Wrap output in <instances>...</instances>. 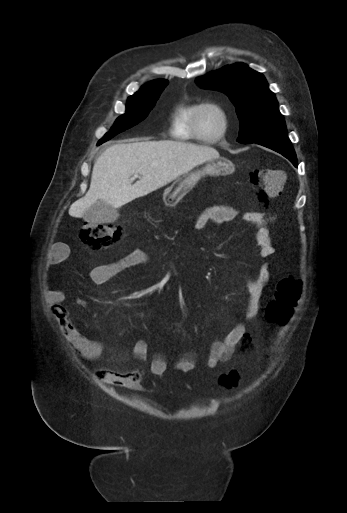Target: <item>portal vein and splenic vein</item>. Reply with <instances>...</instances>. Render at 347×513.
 Segmentation results:
<instances>
[{
  "instance_id": "obj_1",
  "label": "portal vein and splenic vein",
  "mask_w": 347,
  "mask_h": 513,
  "mask_svg": "<svg viewBox=\"0 0 347 513\" xmlns=\"http://www.w3.org/2000/svg\"><path fill=\"white\" fill-rule=\"evenodd\" d=\"M134 177H138V174H135Z\"/></svg>"
}]
</instances>
